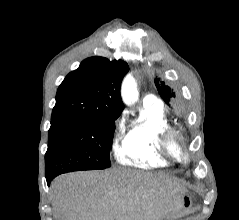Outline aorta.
<instances>
[{
  "instance_id": "762f6f07",
  "label": "aorta",
  "mask_w": 239,
  "mask_h": 220,
  "mask_svg": "<svg viewBox=\"0 0 239 220\" xmlns=\"http://www.w3.org/2000/svg\"><path fill=\"white\" fill-rule=\"evenodd\" d=\"M122 99L125 104L133 105L139 96L135 79L128 75L125 77L121 88Z\"/></svg>"
}]
</instances>
